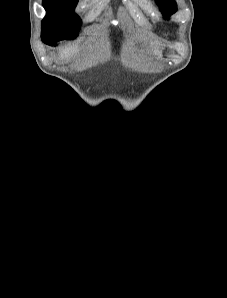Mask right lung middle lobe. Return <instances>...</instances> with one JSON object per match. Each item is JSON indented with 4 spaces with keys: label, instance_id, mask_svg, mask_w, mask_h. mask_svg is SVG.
<instances>
[{
    "label": "right lung middle lobe",
    "instance_id": "right-lung-middle-lobe-1",
    "mask_svg": "<svg viewBox=\"0 0 227 298\" xmlns=\"http://www.w3.org/2000/svg\"><path fill=\"white\" fill-rule=\"evenodd\" d=\"M77 3L78 0H43L47 15L42 20L41 38L47 37L56 43L60 39L77 37L82 24L74 13Z\"/></svg>",
    "mask_w": 227,
    "mask_h": 298
}]
</instances>
